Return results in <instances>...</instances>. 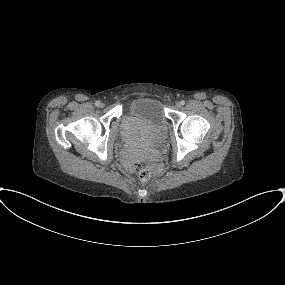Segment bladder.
<instances>
[{"label":"bladder","mask_w":285,"mask_h":285,"mask_svg":"<svg viewBox=\"0 0 285 285\" xmlns=\"http://www.w3.org/2000/svg\"><path fill=\"white\" fill-rule=\"evenodd\" d=\"M166 117L159 100L137 98L120 117L117 137L127 152L143 149L147 156L163 150L167 145Z\"/></svg>","instance_id":"1"}]
</instances>
